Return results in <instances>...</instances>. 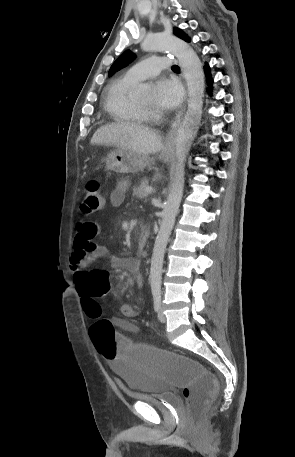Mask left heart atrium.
<instances>
[{
	"mask_svg": "<svg viewBox=\"0 0 295 457\" xmlns=\"http://www.w3.org/2000/svg\"><path fill=\"white\" fill-rule=\"evenodd\" d=\"M182 99L179 84L171 79H160L154 89V105L161 110H171L178 106Z\"/></svg>",
	"mask_w": 295,
	"mask_h": 457,
	"instance_id": "left-heart-atrium-1",
	"label": "left heart atrium"
}]
</instances>
